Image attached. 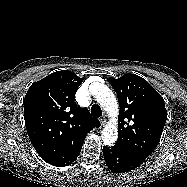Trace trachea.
Masks as SVG:
<instances>
[{
  "label": "trachea",
  "instance_id": "trachea-1",
  "mask_svg": "<svg viewBox=\"0 0 187 187\" xmlns=\"http://www.w3.org/2000/svg\"><path fill=\"white\" fill-rule=\"evenodd\" d=\"M91 115L94 116V117H97V118L102 116V110H101L100 106H98L96 104L92 105Z\"/></svg>",
  "mask_w": 187,
  "mask_h": 187
}]
</instances>
